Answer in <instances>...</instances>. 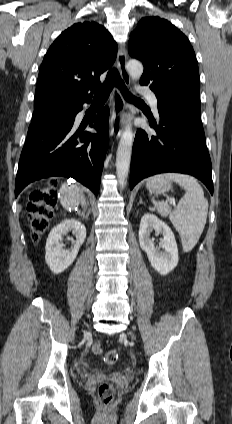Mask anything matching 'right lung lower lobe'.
Listing matches in <instances>:
<instances>
[{
    "label": "right lung lower lobe",
    "instance_id": "right-lung-lower-lobe-1",
    "mask_svg": "<svg viewBox=\"0 0 232 424\" xmlns=\"http://www.w3.org/2000/svg\"><path fill=\"white\" fill-rule=\"evenodd\" d=\"M81 109L82 104L51 105L32 119L19 160L16 197L29 183L51 176L72 177L98 194L108 149L109 110L103 108L92 119L89 126L98 134H91L75 132V116Z\"/></svg>",
    "mask_w": 232,
    "mask_h": 424
}]
</instances>
